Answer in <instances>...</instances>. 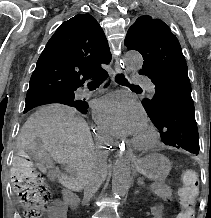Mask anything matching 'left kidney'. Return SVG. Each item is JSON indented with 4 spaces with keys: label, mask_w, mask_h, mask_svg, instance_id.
Here are the masks:
<instances>
[{
    "label": "left kidney",
    "mask_w": 211,
    "mask_h": 218,
    "mask_svg": "<svg viewBox=\"0 0 211 218\" xmlns=\"http://www.w3.org/2000/svg\"><path fill=\"white\" fill-rule=\"evenodd\" d=\"M150 215L151 218H163V207H152Z\"/></svg>",
    "instance_id": "left-kidney-1"
}]
</instances>
